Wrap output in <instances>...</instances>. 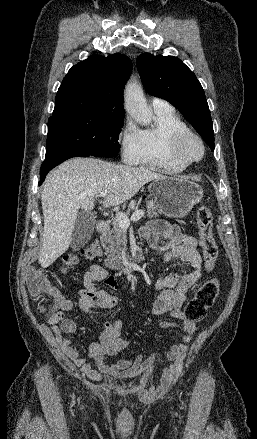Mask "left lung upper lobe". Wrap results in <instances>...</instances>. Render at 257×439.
Wrapping results in <instances>:
<instances>
[{"label": "left lung upper lobe", "mask_w": 257, "mask_h": 439, "mask_svg": "<svg viewBox=\"0 0 257 439\" xmlns=\"http://www.w3.org/2000/svg\"><path fill=\"white\" fill-rule=\"evenodd\" d=\"M136 64L146 91L175 105L214 151L213 123L195 74L174 56L143 53Z\"/></svg>", "instance_id": "obj_1"}]
</instances>
